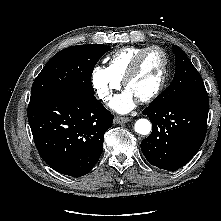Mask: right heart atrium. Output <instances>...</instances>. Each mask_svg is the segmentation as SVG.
I'll return each mask as SVG.
<instances>
[{"mask_svg": "<svg viewBox=\"0 0 221 221\" xmlns=\"http://www.w3.org/2000/svg\"><path fill=\"white\" fill-rule=\"evenodd\" d=\"M91 85L96 96L101 101L108 102L114 91L120 88L121 82L110 72L108 67L96 66L91 74Z\"/></svg>", "mask_w": 221, "mask_h": 221, "instance_id": "right-heart-atrium-1", "label": "right heart atrium"}]
</instances>
